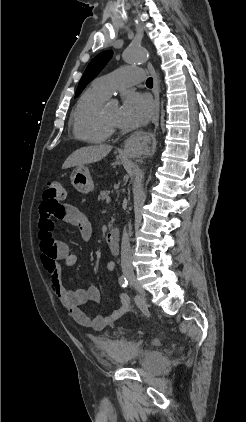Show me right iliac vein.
Segmentation results:
<instances>
[{"mask_svg":"<svg viewBox=\"0 0 246 422\" xmlns=\"http://www.w3.org/2000/svg\"><path fill=\"white\" fill-rule=\"evenodd\" d=\"M125 276L128 279V281L130 282V284L138 292L139 302L142 303V304H146V302H147L146 294H145L144 290L142 289V287L140 286V284L138 283V281L136 280L135 275L133 273L127 272V273H125Z\"/></svg>","mask_w":246,"mask_h":422,"instance_id":"obj_1","label":"right iliac vein"}]
</instances>
